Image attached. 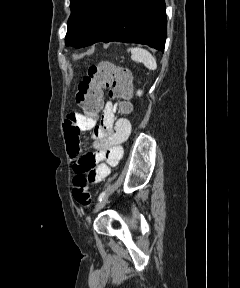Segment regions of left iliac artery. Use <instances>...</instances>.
Segmentation results:
<instances>
[{
    "label": "left iliac artery",
    "instance_id": "obj_1",
    "mask_svg": "<svg viewBox=\"0 0 240 288\" xmlns=\"http://www.w3.org/2000/svg\"><path fill=\"white\" fill-rule=\"evenodd\" d=\"M105 191H103L100 195H99V197H98V201H101L103 198H104V196H105Z\"/></svg>",
    "mask_w": 240,
    "mask_h": 288
}]
</instances>
